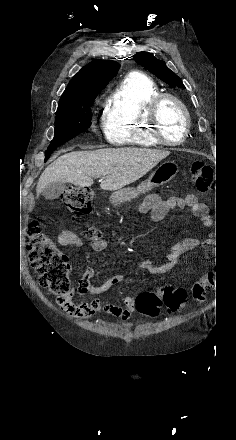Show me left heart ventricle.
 <instances>
[{
    "label": "left heart ventricle",
    "instance_id": "b2bd125f",
    "mask_svg": "<svg viewBox=\"0 0 236 440\" xmlns=\"http://www.w3.org/2000/svg\"><path fill=\"white\" fill-rule=\"evenodd\" d=\"M159 115L165 136L170 140L180 139L184 131V116L179 106L167 100L161 106Z\"/></svg>",
    "mask_w": 236,
    "mask_h": 440
}]
</instances>
